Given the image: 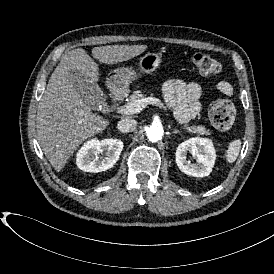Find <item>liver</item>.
<instances>
[{"instance_id":"6515ba94","label":"liver","mask_w":274,"mask_h":274,"mask_svg":"<svg viewBox=\"0 0 274 274\" xmlns=\"http://www.w3.org/2000/svg\"><path fill=\"white\" fill-rule=\"evenodd\" d=\"M147 45L94 47L93 58L116 64L140 55ZM99 80L98 66L82 48L65 54L52 73L37 109V136L46 158L56 171L64 168L74 151L87 139L102 133L109 121L92 113V106L74 85Z\"/></svg>"}]
</instances>
